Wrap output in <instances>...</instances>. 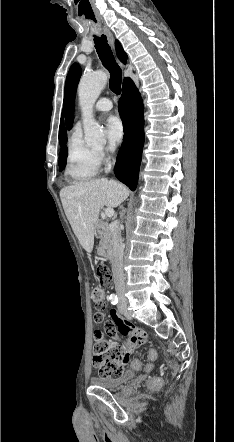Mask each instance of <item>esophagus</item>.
Instances as JSON below:
<instances>
[{"instance_id": "1", "label": "esophagus", "mask_w": 234, "mask_h": 442, "mask_svg": "<svg viewBox=\"0 0 234 442\" xmlns=\"http://www.w3.org/2000/svg\"><path fill=\"white\" fill-rule=\"evenodd\" d=\"M105 33L109 39L110 44L114 47V38H113L112 33L108 29L105 30ZM117 61H118V64L120 65V67L124 70L125 65L120 60L117 59Z\"/></svg>"}]
</instances>
